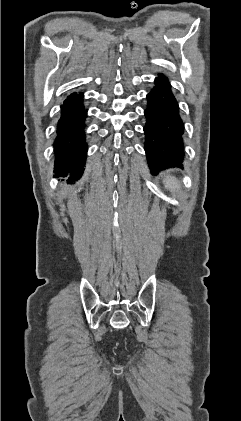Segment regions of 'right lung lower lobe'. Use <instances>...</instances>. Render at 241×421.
I'll return each instance as SVG.
<instances>
[{
	"label": "right lung lower lobe",
	"mask_w": 241,
	"mask_h": 421,
	"mask_svg": "<svg viewBox=\"0 0 241 421\" xmlns=\"http://www.w3.org/2000/svg\"><path fill=\"white\" fill-rule=\"evenodd\" d=\"M82 97V93L75 92L64 101L53 144L55 173L58 176L69 175L74 181L83 173L87 153L84 133L87 109L82 103Z\"/></svg>",
	"instance_id": "right-lung-lower-lobe-1"
}]
</instances>
